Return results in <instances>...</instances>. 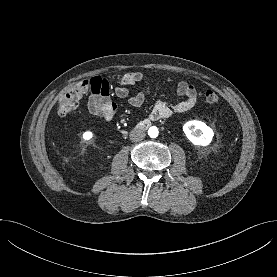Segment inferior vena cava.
<instances>
[{"label": "inferior vena cava", "instance_id": "602c4592", "mask_svg": "<svg viewBox=\"0 0 277 277\" xmlns=\"http://www.w3.org/2000/svg\"><path fill=\"white\" fill-rule=\"evenodd\" d=\"M145 136H146L145 132L139 129L132 130L130 132V140L133 142L141 141L145 138Z\"/></svg>", "mask_w": 277, "mask_h": 277}]
</instances>
